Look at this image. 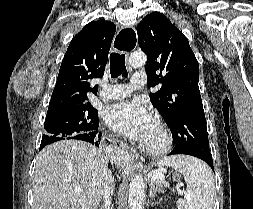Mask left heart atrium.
<instances>
[{
	"mask_svg": "<svg viewBox=\"0 0 253 209\" xmlns=\"http://www.w3.org/2000/svg\"><path fill=\"white\" fill-rule=\"evenodd\" d=\"M104 119L119 133L140 142L144 141L155 123L150 110L139 100L122 101L109 107Z\"/></svg>",
	"mask_w": 253,
	"mask_h": 209,
	"instance_id": "39dd6f15",
	"label": "left heart atrium"
}]
</instances>
